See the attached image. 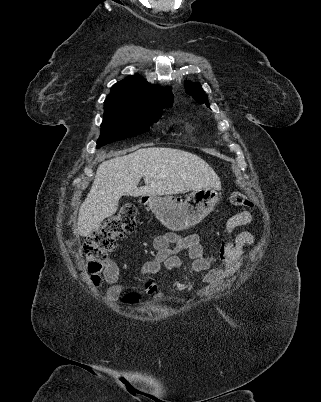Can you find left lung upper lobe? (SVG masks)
Listing matches in <instances>:
<instances>
[{
	"label": "left lung upper lobe",
	"instance_id": "5c2ea615",
	"mask_svg": "<svg viewBox=\"0 0 321 402\" xmlns=\"http://www.w3.org/2000/svg\"><path fill=\"white\" fill-rule=\"evenodd\" d=\"M185 88L187 94L191 95L195 100L201 104L205 103L209 107L207 95L198 83L186 82Z\"/></svg>",
	"mask_w": 321,
	"mask_h": 402
}]
</instances>
